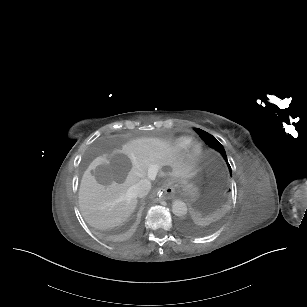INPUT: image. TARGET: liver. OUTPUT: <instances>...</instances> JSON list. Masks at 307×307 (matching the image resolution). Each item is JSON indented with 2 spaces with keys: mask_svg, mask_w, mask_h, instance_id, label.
<instances>
[{
  "mask_svg": "<svg viewBox=\"0 0 307 307\" xmlns=\"http://www.w3.org/2000/svg\"><path fill=\"white\" fill-rule=\"evenodd\" d=\"M99 158V159H98ZM84 172L79 189V204L85 221L107 229L124 222L136 207L132 187L149 172L172 166L176 178L192 174L173 163L169 145L155 138H141L105 150Z\"/></svg>",
  "mask_w": 307,
  "mask_h": 307,
  "instance_id": "1",
  "label": "liver"
}]
</instances>
